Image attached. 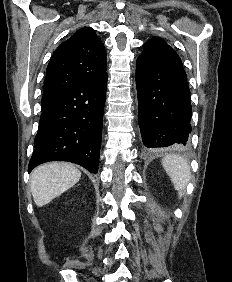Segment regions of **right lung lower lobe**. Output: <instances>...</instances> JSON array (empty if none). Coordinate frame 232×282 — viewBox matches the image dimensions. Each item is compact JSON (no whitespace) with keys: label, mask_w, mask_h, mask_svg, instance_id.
I'll list each match as a JSON object with an SVG mask.
<instances>
[{"label":"right lung lower lobe","mask_w":232,"mask_h":282,"mask_svg":"<svg viewBox=\"0 0 232 282\" xmlns=\"http://www.w3.org/2000/svg\"><path fill=\"white\" fill-rule=\"evenodd\" d=\"M107 73L65 90L42 111L28 171L48 161H68L98 172Z\"/></svg>","instance_id":"98d812e1"}]
</instances>
